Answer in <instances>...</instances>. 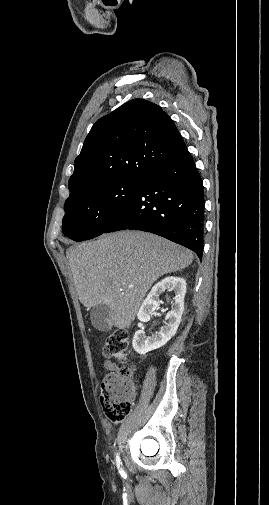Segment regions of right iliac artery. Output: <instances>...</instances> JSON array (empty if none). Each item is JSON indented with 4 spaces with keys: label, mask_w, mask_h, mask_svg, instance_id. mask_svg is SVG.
<instances>
[{
    "label": "right iliac artery",
    "mask_w": 269,
    "mask_h": 505,
    "mask_svg": "<svg viewBox=\"0 0 269 505\" xmlns=\"http://www.w3.org/2000/svg\"><path fill=\"white\" fill-rule=\"evenodd\" d=\"M116 466H117V468H118V470H119V473H120L122 476H124V475H125V471H124V468H123V466H122V462H121V459H120V457H119V454H118V453H117V455H116Z\"/></svg>",
    "instance_id": "82829eb1"
}]
</instances>
